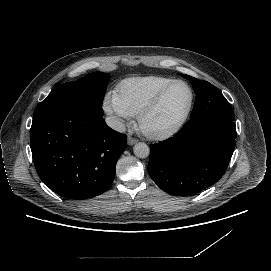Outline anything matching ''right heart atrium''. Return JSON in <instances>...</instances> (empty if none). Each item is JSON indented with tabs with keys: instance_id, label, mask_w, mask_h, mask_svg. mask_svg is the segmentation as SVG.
Returning a JSON list of instances; mask_svg holds the SVG:
<instances>
[{
	"instance_id": "obj_1",
	"label": "right heart atrium",
	"mask_w": 271,
	"mask_h": 271,
	"mask_svg": "<svg viewBox=\"0 0 271 271\" xmlns=\"http://www.w3.org/2000/svg\"><path fill=\"white\" fill-rule=\"evenodd\" d=\"M105 110L111 114L117 123H125L130 115L121 104L118 96L114 92H108L104 98Z\"/></svg>"
}]
</instances>
